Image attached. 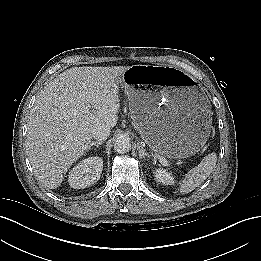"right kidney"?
<instances>
[{
  "mask_svg": "<svg viewBox=\"0 0 261 261\" xmlns=\"http://www.w3.org/2000/svg\"><path fill=\"white\" fill-rule=\"evenodd\" d=\"M102 170V158L88 157L70 170L68 182L74 189L86 188L99 180Z\"/></svg>",
  "mask_w": 261,
  "mask_h": 261,
  "instance_id": "1",
  "label": "right kidney"
}]
</instances>
